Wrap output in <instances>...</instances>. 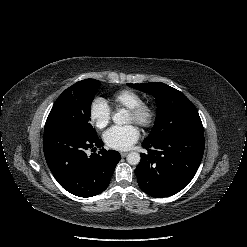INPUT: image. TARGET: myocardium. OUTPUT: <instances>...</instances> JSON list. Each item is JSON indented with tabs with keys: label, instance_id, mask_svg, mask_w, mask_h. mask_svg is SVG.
Masks as SVG:
<instances>
[{
	"label": "myocardium",
	"instance_id": "myocardium-1",
	"mask_svg": "<svg viewBox=\"0 0 247 247\" xmlns=\"http://www.w3.org/2000/svg\"><path fill=\"white\" fill-rule=\"evenodd\" d=\"M134 117V122L143 128L150 127L156 116L155 108L148 102L141 101L133 107L128 108Z\"/></svg>",
	"mask_w": 247,
	"mask_h": 247
}]
</instances>
